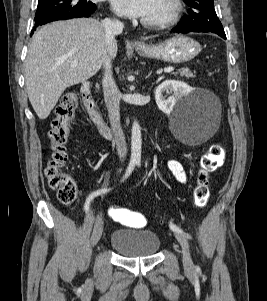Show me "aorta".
Returning <instances> with one entry per match:
<instances>
[{"mask_svg": "<svg viewBox=\"0 0 267 301\" xmlns=\"http://www.w3.org/2000/svg\"><path fill=\"white\" fill-rule=\"evenodd\" d=\"M142 137L141 128L137 121H134L131 132V159H141Z\"/></svg>", "mask_w": 267, "mask_h": 301, "instance_id": "obj_1", "label": "aorta"}]
</instances>
